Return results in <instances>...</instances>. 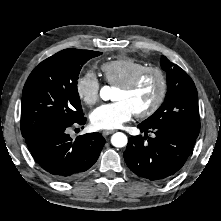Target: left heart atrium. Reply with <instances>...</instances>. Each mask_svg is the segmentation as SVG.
Listing matches in <instances>:
<instances>
[{
	"label": "left heart atrium",
	"mask_w": 221,
	"mask_h": 221,
	"mask_svg": "<svg viewBox=\"0 0 221 221\" xmlns=\"http://www.w3.org/2000/svg\"><path fill=\"white\" fill-rule=\"evenodd\" d=\"M135 114L125 101L102 104L90 114L92 126L98 130H112L129 121Z\"/></svg>",
	"instance_id": "left-heart-atrium-1"
}]
</instances>
